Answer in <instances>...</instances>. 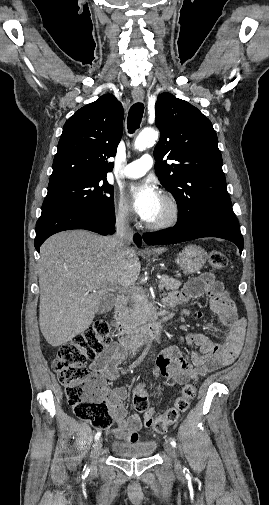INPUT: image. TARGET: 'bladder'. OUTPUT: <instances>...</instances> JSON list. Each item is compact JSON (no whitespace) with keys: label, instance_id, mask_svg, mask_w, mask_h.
<instances>
[{"label":"bladder","instance_id":"1","mask_svg":"<svg viewBox=\"0 0 269 505\" xmlns=\"http://www.w3.org/2000/svg\"><path fill=\"white\" fill-rule=\"evenodd\" d=\"M156 448L157 443L154 440L111 443L112 452L120 458H147L154 454Z\"/></svg>","mask_w":269,"mask_h":505}]
</instances>
